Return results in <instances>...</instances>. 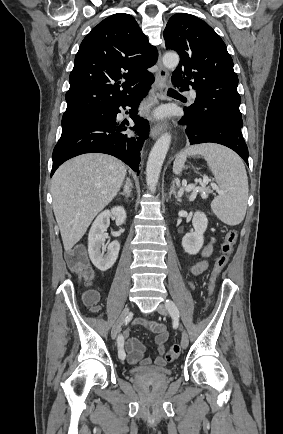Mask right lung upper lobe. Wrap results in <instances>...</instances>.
Masks as SVG:
<instances>
[{
	"mask_svg": "<svg viewBox=\"0 0 283 434\" xmlns=\"http://www.w3.org/2000/svg\"><path fill=\"white\" fill-rule=\"evenodd\" d=\"M157 59L156 47L133 16L117 13L104 19L84 38L75 57L62 120L96 116L121 103L151 79L147 68Z\"/></svg>",
	"mask_w": 283,
	"mask_h": 434,
	"instance_id": "cb5924a9",
	"label": "right lung upper lobe"
}]
</instances>
